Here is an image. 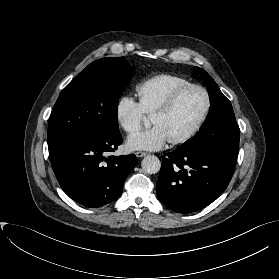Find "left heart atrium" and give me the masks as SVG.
I'll list each match as a JSON object with an SVG mask.
<instances>
[{"instance_id":"1","label":"left heart atrium","mask_w":279,"mask_h":279,"mask_svg":"<svg viewBox=\"0 0 279 279\" xmlns=\"http://www.w3.org/2000/svg\"><path fill=\"white\" fill-rule=\"evenodd\" d=\"M169 142V138L159 126L136 133L127 140L130 150L157 151L163 149Z\"/></svg>"}]
</instances>
